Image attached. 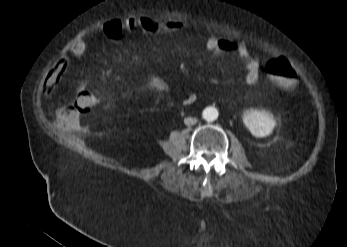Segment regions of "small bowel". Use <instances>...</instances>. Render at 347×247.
Returning <instances> with one entry per match:
<instances>
[{"instance_id":"1","label":"small bowel","mask_w":347,"mask_h":247,"mask_svg":"<svg viewBox=\"0 0 347 247\" xmlns=\"http://www.w3.org/2000/svg\"><path fill=\"white\" fill-rule=\"evenodd\" d=\"M174 29L168 24H160L147 18H127L125 20H111L107 22L102 27L101 34L106 39L117 41L123 36L124 32L145 31L162 33ZM204 46L213 57L231 55L240 61L246 70L244 82L247 86L253 87L258 83L260 63L250 54L249 48L244 42H235L210 33L205 37ZM87 50L88 43L82 39L72 43L69 49L77 57L83 56ZM68 68L69 62L67 59H62L54 65L45 81V89L48 93L51 94L54 92ZM146 84L150 89L158 92H168L171 90V84L157 75H150L147 78ZM81 90H89L84 80L79 81L77 84V93ZM196 99V94L190 92L184 96L182 103L189 106L194 104Z\"/></svg>"}]
</instances>
